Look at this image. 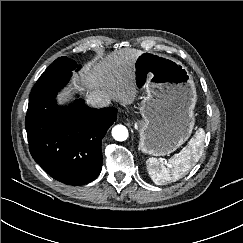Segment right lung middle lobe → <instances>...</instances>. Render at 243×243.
<instances>
[{"instance_id":"obj_1","label":"right lung middle lobe","mask_w":243,"mask_h":243,"mask_svg":"<svg viewBox=\"0 0 243 243\" xmlns=\"http://www.w3.org/2000/svg\"><path fill=\"white\" fill-rule=\"evenodd\" d=\"M76 68H80L74 60L69 59L65 56L56 59L45 72H71Z\"/></svg>"}]
</instances>
